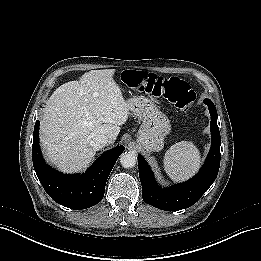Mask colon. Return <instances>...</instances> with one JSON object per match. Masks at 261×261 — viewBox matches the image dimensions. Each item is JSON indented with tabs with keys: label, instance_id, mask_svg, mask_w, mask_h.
<instances>
[{
	"label": "colon",
	"instance_id": "obj_1",
	"mask_svg": "<svg viewBox=\"0 0 261 261\" xmlns=\"http://www.w3.org/2000/svg\"><path fill=\"white\" fill-rule=\"evenodd\" d=\"M128 78L132 87L152 96H162L183 112L192 108L195 94L189 84L178 77L164 80L154 73L133 71Z\"/></svg>",
	"mask_w": 261,
	"mask_h": 261
}]
</instances>
